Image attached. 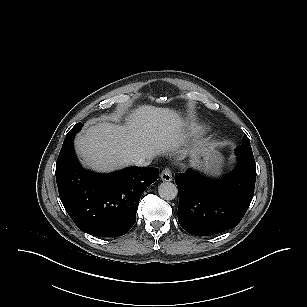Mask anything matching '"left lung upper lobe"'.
<instances>
[{"label":"left lung upper lobe","mask_w":307,"mask_h":307,"mask_svg":"<svg viewBox=\"0 0 307 307\" xmlns=\"http://www.w3.org/2000/svg\"><path fill=\"white\" fill-rule=\"evenodd\" d=\"M236 154L240 156L253 158V153L250 146V140L246 135H244L242 144L236 148Z\"/></svg>","instance_id":"left-lung-upper-lobe-1"}]
</instances>
